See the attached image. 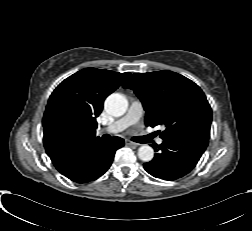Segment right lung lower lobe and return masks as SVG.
I'll list each match as a JSON object with an SVG mask.
<instances>
[{
  "instance_id": "right-lung-lower-lobe-1",
  "label": "right lung lower lobe",
  "mask_w": 252,
  "mask_h": 231,
  "mask_svg": "<svg viewBox=\"0 0 252 231\" xmlns=\"http://www.w3.org/2000/svg\"><path fill=\"white\" fill-rule=\"evenodd\" d=\"M122 146L124 140L120 137L108 142L100 139L83 142L77 148L71 166L62 174L77 183L95 180L109 169L116 150Z\"/></svg>"
}]
</instances>
